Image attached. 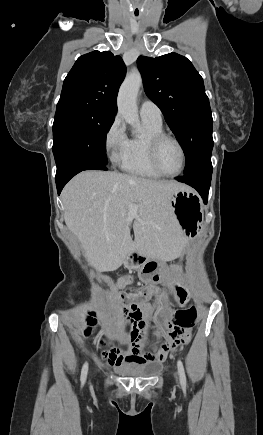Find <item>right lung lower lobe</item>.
Wrapping results in <instances>:
<instances>
[{
  "mask_svg": "<svg viewBox=\"0 0 263 435\" xmlns=\"http://www.w3.org/2000/svg\"><path fill=\"white\" fill-rule=\"evenodd\" d=\"M83 170H107L106 165L84 160H70L65 162L56 172V186L58 195L65 184L76 174Z\"/></svg>",
  "mask_w": 263,
  "mask_h": 435,
  "instance_id": "right-lung-lower-lobe-1",
  "label": "right lung lower lobe"
}]
</instances>
